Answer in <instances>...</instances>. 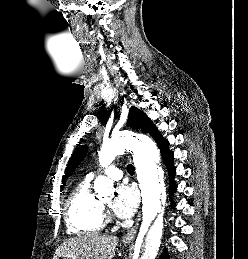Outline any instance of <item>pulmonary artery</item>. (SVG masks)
<instances>
[{
	"label": "pulmonary artery",
	"instance_id": "pulmonary-artery-1",
	"mask_svg": "<svg viewBox=\"0 0 248 259\" xmlns=\"http://www.w3.org/2000/svg\"><path fill=\"white\" fill-rule=\"evenodd\" d=\"M98 173H104L106 174L108 177H110L113 180H119L122 177V171L121 169H119L116 166H110L107 169H105L104 171L102 170H96L93 172H90L87 175L88 179H92L95 175H97Z\"/></svg>",
	"mask_w": 248,
	"mask_h": 259
}]
</instances>
